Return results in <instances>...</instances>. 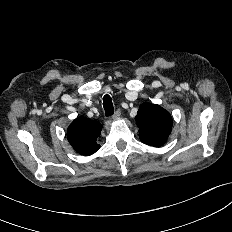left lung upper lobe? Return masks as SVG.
<instances>
[{"instance_id":"5c2ea615","label":"left lung upper lobe","mask_w":232,"mask_h":232,"mask_svg":"<svg viewBox=\"0 0 232 232\" xmlns=\"http://www.w3.org/2000/svg\"><path fill=\"white\" fill-rule=\"evenodd\" d=\"M141 142L154 147L162 146L172 130V117L159 105L144 103L135 117Z\"/></svg>"}]
</instances>
